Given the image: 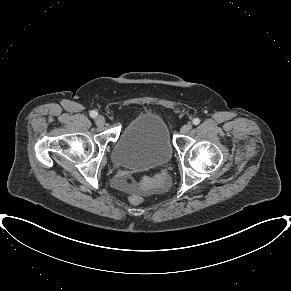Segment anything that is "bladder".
Listing matches in <instances>:
<instances>
[{
    "instance_id": "obj_1",
    "label": "bladder",
    "mask_w": 291,
    "mask_h": 291,
    "mask_svg": "<svg viewBox=\"0 0 291 291\" xmlns=\"http://www.w3.org/2000/svg\"><path fill=\"white\" fill-rule=\"evenodd\" d=\"M172 154L165 122L156 114L144 113L121 130L113 145L111 159L119 167L147 170L168 164Z\"/></svg>"
}]
</instances>
